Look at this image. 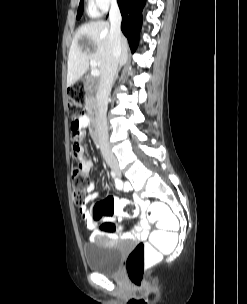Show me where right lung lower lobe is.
<instances>
[{"instance_id": "98d812e1", "label": "right lung lower lobe", "mask_w": 247, "mask_h": 304, "mask_svg": "<svg viewBox=\"0 0 247 304\" xmlns=\"http://www.w3.org/2000/svg\"><path fill=\"white\" fill-rule=\"evenodd\" d=\"M122 15L121 30L127 37L131 51L138 46L142 26V10L146 0H117Z\"/></svg>"}]
</instances>
